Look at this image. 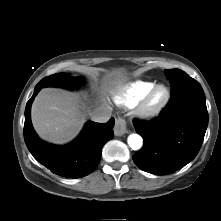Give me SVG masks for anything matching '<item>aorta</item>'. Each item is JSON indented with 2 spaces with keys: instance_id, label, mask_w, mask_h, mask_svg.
Wrapping results in <instances>:
<instances>
[{
  "instance_id": "obj_1",
  "label": "aorta",
  "mask_w": 221,
  "mask_h": 221,
  "mask_svg": "<svg viewBox=\"0 0 221 221\" xmlns=\"http://www.w3.org/2000/svg\"><path fill=\"white\" fill-rule=\"evenodd\" d=\"M128 145L133 149V150H138L142 147L143 144V139L140 135L138 134H131L128 137Z\"/></svg>"
}]
</instances>
